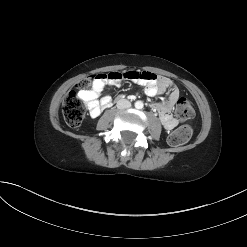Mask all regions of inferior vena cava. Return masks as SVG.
<instances>
[{"label":"inferior vena cava","mask_w":247,"mask_h":247,"mask_svg":"<svg viewBox=\"0 0 247 247\" xmlns=\"http://www.w3.org/2000/svg\"><path fill=\"white\" fill-rule=\"evenodd\" d=\"M131 107V103L126 99H121L117 102V108L125 109Z\"/></svg>","instance_id":"obj_1"}]
</instances>
